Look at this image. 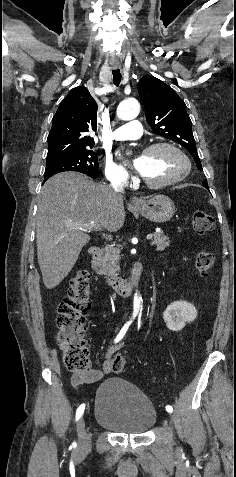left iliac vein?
I'll return each mask as SVG.
<instances>
[{
  "instance_id": "left-iliac-vein-1",
  "label": "left iliac vein",
  "mask_w": 236,
  "mask_h": 477,
  "mask_svg": "<svg viewBox=\"0 0 236 477\" xmlns=\"http://www.w3.org/2000/svg\"><path fill=\"white\" fill-rule=\"evenodd\" d=\"M166 413H167V416L170 418L169 419L170 422L174 424L177 420L176 417H174L175 416L174 413L172 411H169V412L167 411Z\"/></svg>"
}]
</instances>
